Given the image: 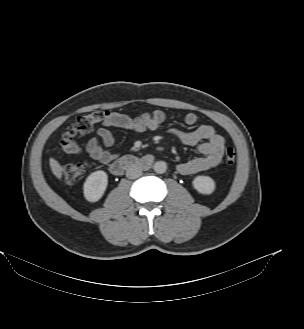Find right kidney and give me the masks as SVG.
<instances>
[{
  "instance_id": "right-kidney-1",
  "label": "right kidney",
  "mask_w": 304,
  "mask_h": 329,
  "mask_svg": "<svg viewBox=\"0 0 304 329\" xmlns=\"http://www.w3.org/2000/svg\"><path fill=\"white\" fill-rule=\"evenodd\" d=\"M108 184L107 174L98 170L91 173L83 186V192L86 200L89 202L98 201L104 194Z\"/></svg>"
}]
</instances>
